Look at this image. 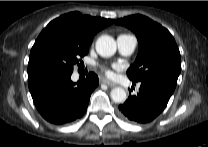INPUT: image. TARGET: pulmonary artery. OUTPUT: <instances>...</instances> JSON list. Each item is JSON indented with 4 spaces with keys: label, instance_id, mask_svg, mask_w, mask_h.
<instances>
[{
    "label": "pulmonary artery",
    "instance_id": "obj_1",
    "mask_svg": "<svg viewBox=\"0 0 208 147\" xmlns=\"http://www.w3.org/2000/svg\"><path fill=\"white\" fill-rule=\"evenodd\" d=\"M137 46V39L131 34H121L117 37V47L124 56L131 55Z\"/></svg>",
    "mask_w": 208,
    "mask_h": 147
}]
</instances>
